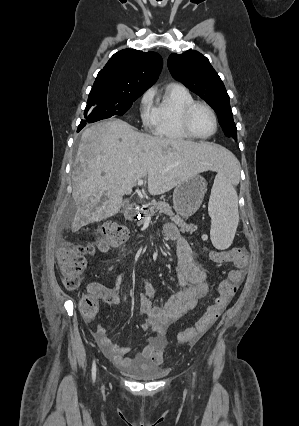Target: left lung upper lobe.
I'll return each mask as SVG.
<instances>
[{
	"instance_id": "1",
	"label": "left lung upper lobe",
	"mask_w": 299,
	"mask_h": 426,
	"mask_svg": "<svg viewBox=\"0 0 299 426\" xmlns=\"http://www.w3.org/2000/svg\"><path fill=\"white\" fill-rule=\"evenodd\" d=\"M167 64L176 80L212 106L225 135L236 140L237 128L233 121L229 95L209 60L197 51L188 50L180 55L171 54Z\"/></svg>"
}]
</instances>
